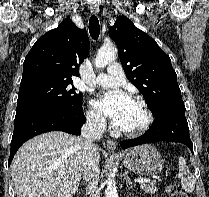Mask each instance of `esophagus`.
I'll return each mask as SVG.
<instances>
[{
    "instance_id": "34e87169",
    "label": "esophagus",
    "mask_w": 209,
    "mask_h": 197,
    "mask_svg": "<svg viewBox=\"0 0 209 197\" xmlns=\"http://www.w3.org/2000/svg\"><path fill=\"white\" fill-rule=\"evenodd\" d=\"M90 10H91V13L97 14L99 12V5L98 4H91ZM106 147H107L108 151L114 153V152H116V149H117V143L111 139H108L106 142Z\"/></svg>"
}]
</instances>
